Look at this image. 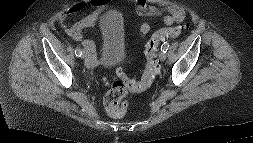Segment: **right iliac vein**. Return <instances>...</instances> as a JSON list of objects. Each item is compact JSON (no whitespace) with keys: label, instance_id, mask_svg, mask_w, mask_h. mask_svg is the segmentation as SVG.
<instances>
[{"label":"right iliac vein","instance_id":"right-iliac-vein-1","mask_svg":"<svg viewBox=\"0 0 253 143\" xmlns=\"http://www.w3.org/2000/svg\"><path fill=\"white\" fill-rule=\"evenodd\" d=\"M83 58H84L85 62H90V60L92 58V54L89 49H87V48L83 49Z\"/></svg>","mask_w":253,"mask_h":143}]
</instances>
